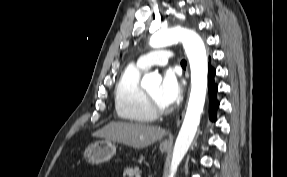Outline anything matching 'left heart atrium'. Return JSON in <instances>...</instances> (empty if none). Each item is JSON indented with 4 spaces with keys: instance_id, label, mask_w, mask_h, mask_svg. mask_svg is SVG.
<instances>
[{
    "instance_id": "left-heart-atrium-1",
    "label": "left heart atrium",
    "mask_w": 287,
    "mask_h": 177,
    "mask_svg": "<svg viewBox=\"0 0 287 177\" xmlns=\"http://www.w3.org/2000/svg\"><path fill=\"white\" fill-rule=\"evenodd\" d=\"M182 92L181 83L177 79L173 70L164 73L160 88L161 99L171 106L177 102Z\"/></svg>"
}]
</instances>
